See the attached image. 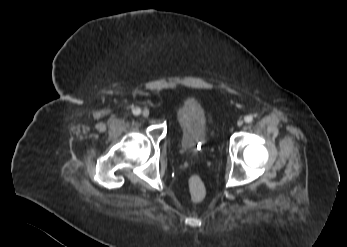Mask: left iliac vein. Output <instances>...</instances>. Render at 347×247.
<instances>
[{"label": "left iliac vein", "mask_w": 347, "mask_h": 247, "mask_svg": "<svg viewBox=\"0 0 347 247\" xmlns=\"http://www.w3.org/2000/svg\"><path fill=\"white\" fill-rule=\"evenodd\" d=\"M237 125L238 126H242L243 125V120H238Z\"/></svg>", "instance_id": "4c4485c4"}]
</instances>
